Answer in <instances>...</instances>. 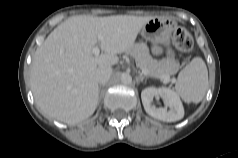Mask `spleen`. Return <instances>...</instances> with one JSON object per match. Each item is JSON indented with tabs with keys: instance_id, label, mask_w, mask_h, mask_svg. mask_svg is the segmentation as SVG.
<instances>
[{
	"instance_id": "obj_1",
	"label": "spleen",
	"mask_w": 238,
	"mask_h": 158,
	"mask_svg": "<svg viewBox=\"0 0 238 158\" xmlns=\"http://www.w3.org/2000/svg\"><path fill=\"white\" fill-rule=\"evenodd\" d=\"M208 70L200 57H195L180 71L175 84V93L186 103H199L207 90Z\"/></svg>"
}]
</instances>
